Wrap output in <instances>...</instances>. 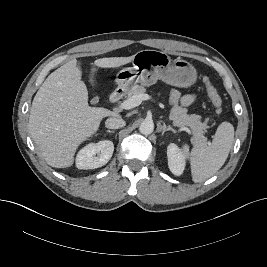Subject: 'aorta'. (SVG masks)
I'll return each instance as SVG.
<instances>
[{
	"label": "aorta",
	"instance_id": "obj_1",
	"mask_svg": "<svg viewBox=\"0 0 267 267\" xmlns=\"http://www.w3.org/2000/svg\"><path fill=\"white\" fill-rule=\"evenodd\" d=\"M153 130H154V123L152 120L146 119L139 126V131L144 135L151 134Z\"/></svg>",
	"mask_w": 267,
	"mask_h": 267
}]
</instances>
